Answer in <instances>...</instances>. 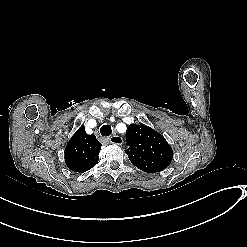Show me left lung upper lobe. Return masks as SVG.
Here are the masks:
<instances>
[{
	"label": "left lung upper lobe",
	"mask_w": 247,
	"mask_h": 247,
	"mask_svg": "<svg viewBox=\"0 0 247 247\" xmlns=\"http://www.w3.org/2000/svg\"><path fill=\"white\" fill-rule=\"evenodd\" d=\"M126 150L130 161L140 170L155 173L164 170L172 161L173 151L166 139L144 124H131L126 131Z\"/></svg>",
	"instance_id": "5c2ea615"
}]
</instances>
